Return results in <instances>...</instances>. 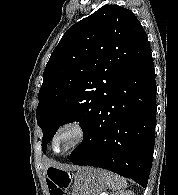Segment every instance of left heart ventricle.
I'll use <instances>...</instances> for the list:
<instances>
[{"label": "left heart ventricle", "instance_id": "left-heart-ventricle-1", "mask_svg": "<svg viewBox=\"0 0 178 195\" xmlns=\"http://www.w3.org/2000/svg\"><path fill=\"white\" fill-rule=\"evenodd\" d=\"M74 140V134L72 132L61 133L55 142V150L62 152L67 149Z\"/></svg>", "mask_w": 178, "mask_h": 195}]
</instances>
